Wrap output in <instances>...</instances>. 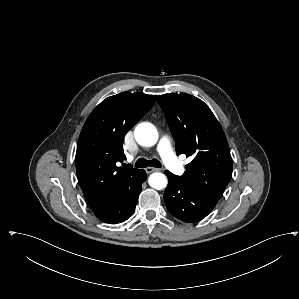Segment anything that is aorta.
I'll return each mask as SVG.
<instances>
[{
	"label": "aorta",
	"instance_id": "aorta-1",
	"mask_svg": "<svg viewBox=\"0 0 299 299\" xmlns=\"http://www.w3.org/2000/svg\"><path fill=\"white\" fill-rule=\"evenodd\" d=\"M134 136L139 145L146 147L155 145L158 140L157 129L148 122L138 124ZM148 183L152 188L161 190L167 186V179L164 174L156 172L150 175Z\"/></svg>",
	"mask_w": 299,
	"mask_h": 299
}]
</instances>
